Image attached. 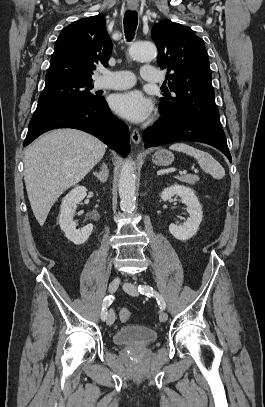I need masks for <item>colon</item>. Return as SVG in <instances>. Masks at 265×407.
<instances>
[{
  "instance_id": "colon-1",
  "label": "colon",
  "mask_w": 265,
  "mask_h": 407,
  "mask_svg": "<svg viewBox=\"0 0 265 407\" xmlns=\"http://www.w3.org/2000/svg\"><path fill=\"white\" fill-rule=\"evenodd\" d=\"M121 322H128L132 318V313L130 310L122 309L119 313Z\"/></svg>"
}]
</instances>
